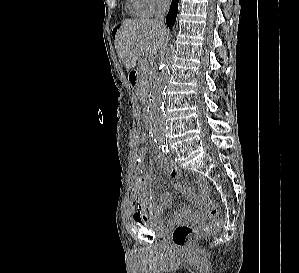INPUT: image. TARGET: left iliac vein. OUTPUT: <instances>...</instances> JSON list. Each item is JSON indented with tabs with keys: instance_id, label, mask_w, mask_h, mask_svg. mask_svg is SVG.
I'll list each match as a JSON object with an SVG mask.
<instances>
[{
	"instance_id": "left-iliac-vein-1",
	"label": "left iliac vein",
	"mask_w": 299,
	"mask_h": 273,
	"mask_svg": "<svg viewBox=\"0 0 299 273\" xmlns=\"http://www.w3.org/2000/svg\"><path fill=\"white\" fill-rule=\"evenodd\" d=\"M171 152H172V154H174V155H175V153H176L175 150H171Z\"/></svg>"
}]
</instances>
